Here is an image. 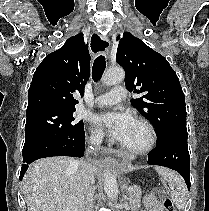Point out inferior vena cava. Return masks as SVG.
Returning a JSON list of instances; mask_svg holds the SVG:
<instances>
[{
  "label": "inferior vena cava",
  "instance_id": "602c4592",
  "mask_svg": "<svg viewBox=\"0 0 209 211\" xmlns=\"http://www.w3.org/2000/svg\"><path fill=\"white\" fill-rule=\"evenodd\" d=\"M102 140L101 136H96L91 139V144L98 145ZM82 172L84 178L88 184V189L86 193V200H85V211H93V201H94V193H95V176H94V169L93 166L87 161L80 162Z\"/></svg>",
  "mask_w": 209,
  "mask_h": 211
}]
</instances>
